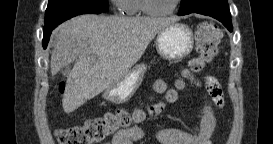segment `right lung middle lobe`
<instances>
[{"label":"right lung middle lobe","instance_id":"1","mask_svg":"<svg viewBox=\"0 0 273 144\" xmlns=\"http://www.w3.org/2000/svg\"><path fill=\"white\" fill-rule=\"evenodd\" d=\"M83 7L106 12L108 11V0H49L45 13V25H48L53 17L59 13Z\"/></svg>","mask_w":273,"mask_h":144}]
</instances>
